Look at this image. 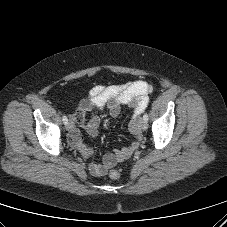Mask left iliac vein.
Here are the masks:
<instances>
[{
	"mask_svg": "<svg viewBox=\"0 0 227 227\" xmlns=\"http://www.w3.org/2000/svg\"><path fill=\"white\" fill-rule=\"evenodd\" d=\"M139 126H140V128H141L142 130H146V129L148 128V124H147V122H146L144 119H141V120L139 121Z\"/></svg>",
	"mask_w": 227,
	"mask_h": 227,
	"instance_id": "4c4485c4",
	"label": "left iliac vein"
}]
</instances>
